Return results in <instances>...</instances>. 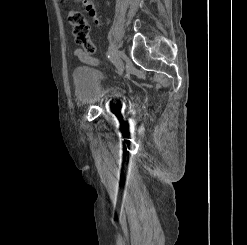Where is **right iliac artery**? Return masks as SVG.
<instances>
[{"instance_id": "right-iliac-artery-1", "label": "right iliac artery", "mask_w": 247, "mask_h": 245, "mask_svg": "<svg viewBox=\"0 0 247 245\" xmlns=\"http://www.w3.org/2000/svg\"><path fill=\"white\" fill-rule=\"evenodd\" d=\"M106 57L109 58V57H114V55L112 54V52L110 50H108L106 52Z\"/></svg>"}]
</instances>
